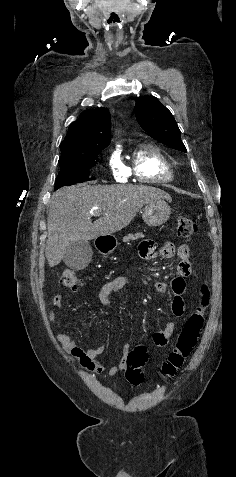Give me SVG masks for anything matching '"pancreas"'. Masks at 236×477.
Masks as SVG:
<instances>
[{
  "label": "pancreas",
  "instance_id": "cf45deb5",
  "mask_svg": "<svg viewBox=\"0 0 236 477\" xmlns=\"http://www.w3.org/2000/svg\"><path fill=\"white\" fill-rule=\"evenodd\" d=\"M144 235L142 233H136L135 235L129 234L124 237L123 241L128 242L130 240H137L138 238H142Z\"/></svg>",
  "mask_w": 236,
  "mask_h": 477
}]
</instances>
